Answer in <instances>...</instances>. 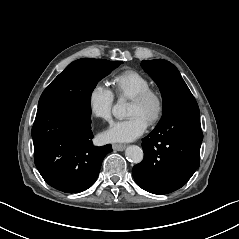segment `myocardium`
<instances>
[{
	"mask_svg": "<svg viewBox=\"0 0 239 239\" xmlns=\"http://www.w3.org/2000/svg\"><path fill=\"white\" fill-rule=\"evenodd\" d=\"M131 100L139 104H144L150 100L154 101L155 110L148 122L150 126L156 125L162 119L166 101L163 92L159 88L150 86L136 93Z\"/></svg>",
	"mask_w": 239,
	"mask_h": 239,
	"instance_id": "f54148a6",
	"label": "myocardium"
}]
</instances>
